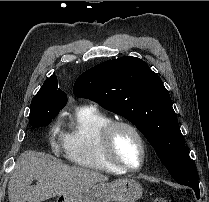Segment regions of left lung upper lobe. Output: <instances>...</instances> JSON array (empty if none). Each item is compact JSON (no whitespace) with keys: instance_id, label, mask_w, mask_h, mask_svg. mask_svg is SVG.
Listing matches in <instances>:
<instances>
[{"instance_id":"5c2ea615","label":"left lung upper lobe","mask_w":209,"mask_h":202,"mask_svg":"<svg viewBox=\"0 0 209 202\" xmlns=\"http://www.w3.org/2000/svg\"><path fill=\"white\" fill-rule=\"evenodd\" d=\"M73 92L136 125L174 180L199 188L169 92L142 59L126 56L100 63L77 78Z\"/></svg>"}]
</instances>
